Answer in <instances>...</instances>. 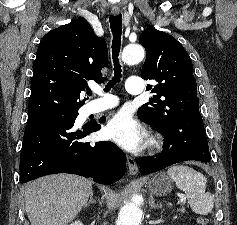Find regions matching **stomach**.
Returning <instances> with one entry per match:
<instances>
[{"label":"stomach","mask_w":237,"mask_h":225,"mask_svg":"<svg viewBox=\"0 0 237 225\" xmlns=\"http://www.w3.org/2000/svg\"><path fill=\"white\" fill-rule=\"evenodd\" d=\"M172 180L165 173L156 174L148 181L149 191L157 196H166L172 191Z\"/></svg>","instance_id":"stomach-1"}]
</instances>
